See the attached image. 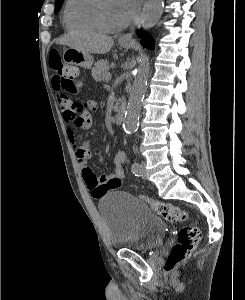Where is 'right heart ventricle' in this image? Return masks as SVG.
<instances>
[{
    "label": "right heart ventricle",
    "instance_id": "right-heart-ventricle-1",
    "mask_svg": "<svg viewBox=\"0 0 245 300\" xmlns=\"http://www.w3.org/2000/svg\"><path fill=\"white\" fill-rule=\"evenodd\" d=\"M94 0H67L63 21L65 27L71 32L99 33L92 18V5Z\"/></svg>",
    "mask_w": 245,
    "mask_h": 300
}]
</instances>
